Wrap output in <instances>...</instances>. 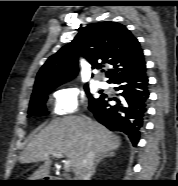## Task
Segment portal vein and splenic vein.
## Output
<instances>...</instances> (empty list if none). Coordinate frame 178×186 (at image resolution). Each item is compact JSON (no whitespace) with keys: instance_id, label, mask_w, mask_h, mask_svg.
Wrapping results in <instances>:
<instances>
[{"instance_id":"portal-vein-and-splenic-vein-1","label":"portal vein and splenic vein","mask_w":178,"mask_h":186,"mask_svg":"<svg viewBox=\"0 0 178 186\" xmlns=\"http://www.w3.org/2000/svg\"><path fill=\"white\" fill-rule=\"evenodd\" d=\"M51 155L56 158H63L64 157V155L60 152H53V153H51ZM64 169L66 172L70 171V169H71V161L70 160L64 161Z\"/></svg>"}]
</instances>
